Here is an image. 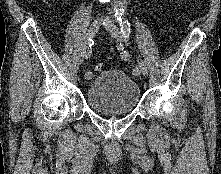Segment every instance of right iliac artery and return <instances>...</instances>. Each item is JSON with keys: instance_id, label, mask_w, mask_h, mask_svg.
<instances>
[{"instance_id": "right-iliac-artery-1", "label": "right iliac artery", "mask_w": 221, "mask_h": 174, "mask_svg": "<svg viewBox=\"0 0 221 174\" xmlns=\"http://www.w3.org/2000/svg\"><path fill=\"white\" fill-rule=\"evenodd\" d=\"M92 45H93V40H92V38H89L87 40V46H86V50H87V58L86 59L90 58V56H91V47H92ZM84 77H85L86 80L92 79L93 72L90 69H87L85 71Z\"/></svg>"}]
</instances>
